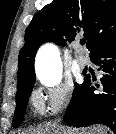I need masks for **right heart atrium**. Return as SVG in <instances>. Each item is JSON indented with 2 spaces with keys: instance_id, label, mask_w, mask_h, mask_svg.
Here are the masks:
<instances>
[{
  "instance_id": "obj_1",
  "label": "right heart atrium",
  "mask_w": 116,
  "mask_h": 134,
  "mask_svg": "<svg viewBox=\"0 0 116 134\" xmlns=\"http://www.w3.org/2000/svg\"><path fill=\"white\" fill-rule=\"evenodd\" d=\"M72 95V84L61 82L51 87L36 90L33 98L41 110L50 115H55L64 111L69 106Z\"/></svg>"
}]
</instances>
